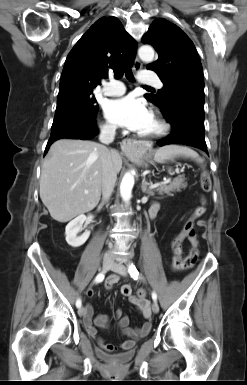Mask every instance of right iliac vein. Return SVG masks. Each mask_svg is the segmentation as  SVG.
Here are the masks:
<instances>
[{
	"label": "right iliac vein",
	"mask_w": 247,
	"mask_h": 385,
	"mask_svg": "<svg viewBox=\"0 0 247 385\" xmlns=\"http://www.w3.org/2000/svg\"><path fill=\"white\" fill-rule=\"evenodd\" d=\"M112 264H113V261L111 258H104L102 262V270L104 272L108 271L111 268ZM85 314H86L85 308L84 307L79 308L78 315L80 317H84Z\"/></svg>",
	"instance_id": "right-iliac-vein-1"
}]
</instances>
